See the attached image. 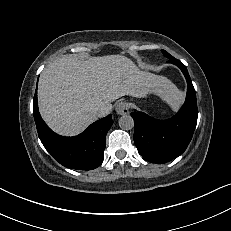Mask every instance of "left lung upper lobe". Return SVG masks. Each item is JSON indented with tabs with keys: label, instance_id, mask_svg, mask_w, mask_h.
<instances>
[{
	"label": "left lung upper lobe",
	"instance_id": "left-lung-upper-lobe-1",
	"mask_svg": "<svg viewBox=\"0 0 231 231\" xmlns=\"http://www.w3.org/2000/svg\"><path fill=\"white\" fill-rule=\"evenodd\" d=\"M162 53L164 54L165 57L169 58V59H172L174 58L173 56H171L168 52L162 50Z\"/></svg>",
	"mask_w": 231,
	"mask_h": 231
}]
</instances>
